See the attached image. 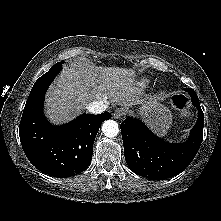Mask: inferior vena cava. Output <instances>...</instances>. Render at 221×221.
<instances>
[{"label":"inferior vena cava","instance_id":"602c4592","mask_svg":"<svg viewBox=\"0 0 221 221\" xmlns=\"http://www.w3.org/2000/svg\"><path fill=\"white\" fill-rule=\"evenodd\" d=\"M108 108V103L104 101H93L86 106V109L93 114H100Z\"/></svg>","mask_w":221,"mask_h":221}]
</instances>
